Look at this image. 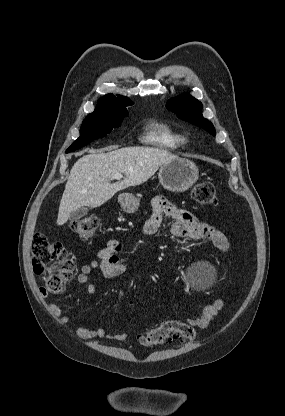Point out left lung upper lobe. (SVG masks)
<instances>
[{"instance_id":"obj_1","label":"left lung upper lobe","mask_w":285,"mask_h":416,"mask_svg":"<svg viewBox=\"0 0 285 416\" xmlns=\"http://www.w3.org/2000/svg\"><path fill=\"white\" fill-rule=\"evenodd\" d=\"M166 107L187 122L197 125L215 136L213 124L202 116V103L188 93L170 99Z\"/></svg>"}]
</instances>
